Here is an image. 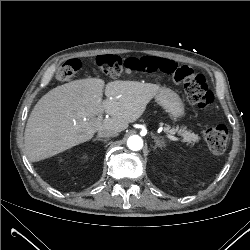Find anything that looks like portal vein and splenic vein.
<instances>
[{
  "instance_id": "1",
  "label": "portal vein and splenic vein",
  "mask_w": 250,
  "mask_h": 250,
  "mask_svg": "<svg viewBox=\"0 0 250 250\" xmlns=\"http://www.w3.org/2000/svg\"><path fill=\"white\" fill-rule=\"evenodd\" d=\"M168 138L173 140V141H178L179 138L178 137H175V136H171V135H168Z\"/></svg>"
}]
</instances>
